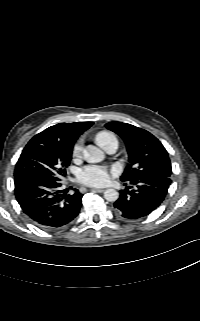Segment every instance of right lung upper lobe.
<instances>
[{
    "label": "right lung upper lobe",
    "instance_id": "obj_1",
    "mask_svg": "<svg viewBox=\"0 0 200 321\" xmlns=\"http://www.w3.org/2000/svg\"><path fill=\"white\" fill-rule=\"evenodd\" d=\"M93 122H81V123H60L47 128L41 133L34 136V138H42L55 145L65 149L67 151H72V147L76 139L83 131L87 130L92 126ZM23 175L15 174V184L18 178Z\"/></svg>",
    "mask_w": 200,
    "mask_h": 321
}]
</instances>
